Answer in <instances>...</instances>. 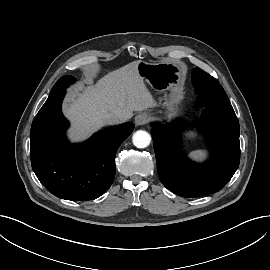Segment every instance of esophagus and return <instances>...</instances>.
<instances>
[{
  "mask_svg": "<svg viewBox=\"0 0 270 270\" xmlns=\"http://www.w3.org/2000/svg\"><path fill=\"white\" fill-rule=\"evenodd\" d=\"M148 120H149V115L146 113H141L135 117V124L138 126L145 125L148 122Z\"/></svg>",
  "mask_w": 270,
  "mask_h": 270,
  "instance_id": "1",
  "label": "esophagus"
}]
</instances>
